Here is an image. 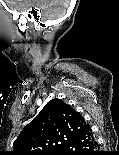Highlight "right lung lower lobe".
<instances>
[{"instance_id": "1", "label": "right lung lower lobe", "mask_w": 119, "mask_h": 155, "mask_svg": "<svg viewBox=\"0 0 119 155\" xmlns=\"http://www.w3.org/2000/svg\"><path fill=\"white\" fill-rule=\"evenodd\" d=\"M58 155H98V145L90 127L69 141Z\"/></svg>"}]
</instances>
